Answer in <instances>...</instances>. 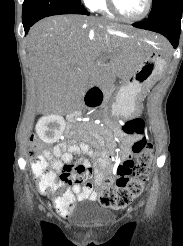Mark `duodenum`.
<instances>
[{"label":"duodenum","mask_w":183,"mask_h":246,"mask_svg":"<svg viewBox=\"0 0 183 246\" xmlns=\"http://www.w3.org/2000/svg\"><path fill=\"white\" fill-rule=\"evenodd\" d=\"M105 99V94L99 86H91L85 94L82 109L95 108L100 106ZM82 111H73L71 118L74 116H82Z\"/></svg>","instance_id":"duodenum-1"}]
</instances>
